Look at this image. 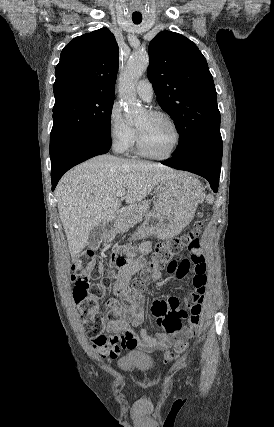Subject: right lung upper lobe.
<instances>
[{"label": "right lung upper lobe", "mask_w": 274, "mask_h": 427, "mask_svg": "<svg viewBox=\"0 0 274 427\" xmlns=\"http://www.w3.org/2000/svg\"><path fill=\"white\" fill-rule=\"evenodd\" d=\"M119 48L108 28L74 38L61 52L55 103L69 96L115 95Z\"/></svg>", "instance_id": "right-lung-upper-lobe-1"}]
</instances>
